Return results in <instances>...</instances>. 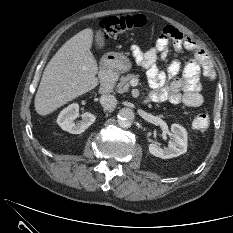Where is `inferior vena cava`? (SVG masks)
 Returning <instances> with one entry per match:
<instances>
[{
    "label": "inferior vena cava",
    "instance_id": "inferior-vena-cava-1",
    "mask_svg": "<svg viewBox=\"0 0 233 233\" xmlns=\"http://www.w3.org/2000/svg\"><path fill=\"white\" fill-rule=\"evenodd\" d=\"M100 103L105 109H112L117 105V99L111 94H105L101 96Z\"/></svg>",
    "mask_w": 233,
    "mask_h": 233
}]
</instances>
